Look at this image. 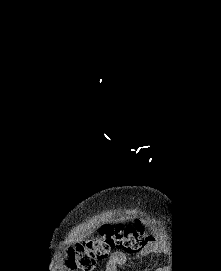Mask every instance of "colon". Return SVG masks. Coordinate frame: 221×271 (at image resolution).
I'll list each match as a JSON object with an SVG mask.
<instances>
[{"label": "colon", "mask_w": 221, "mask_h": 271, "mask_svg": "<svg viewBox=\"0 0 221 271\" xmlns=\"http://www.w3.org/2000/svg\"><path fill=\"white\" fill-rule=\"evenodd\" d=\"M150 236L138 224H107L97 238L86 239L67 250L66 265L75 271H91L117 249L128 253L142 250Z\"/></svg>", "instance_id": "1"}]
</instances>
